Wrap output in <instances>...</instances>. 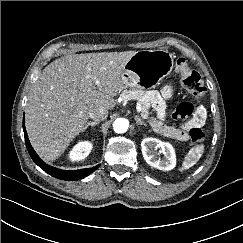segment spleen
<instances>
[{"instance_id": "obj_1", "label": "spleen", "mask_w": 243, "mask_h": 243, "mask_svg": "<svg viewBox=\"0 0 243 243\" xmlns=\"http://www.w3.org/2000/svg\"><path fill=\"white\" fill-rule=\"evenodd\" d=\"M203 152H204L203 144L192 147L187 153V155L185 156L184 162L180 170L183 171L195 165L198 162V160L201 158Z\"/></svg>"}]
</instances>
